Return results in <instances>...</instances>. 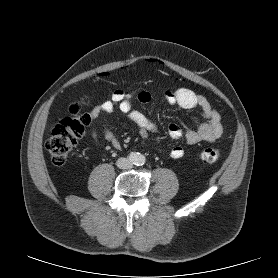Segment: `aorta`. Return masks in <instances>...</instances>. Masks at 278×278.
Masks as SVG:
<instances>
[{
	"label": "aorta",
	"mask_w": 278,
	"mask_h": 278,
	"mask_svg": "<svg viewBox=\"0 0 278 278\" xmlns=\"http://www.w3.org/2000/svg\"><path fill=\"white\" fill-rule=\"evenodd\" d=\"M145 156L140 154V153H136L134 158H133V163L135 165H143L145 163Z\"/></svg>",
	"instance_id": "762f6f07"
}]
</instances>
